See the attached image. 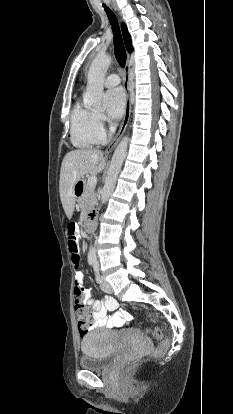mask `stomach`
I'll return each instance as SVG.
<instances>
[{
	"mask_svg": "<svg viewBox=\"0 0 233 414\" xmlns=\"http://www.w3.org/2000/svg\"><path fill=\"white\" fill-rule=\"evenodd\" d=\"M82 187L81 186H77V184L74 187V194L75 196H81L82 195Z\"/></svg>",
	"mask_w": 233,
	"mask_h": 414,
	"instance_id": "1",
	"label": "stomach"
}]
</instances>
